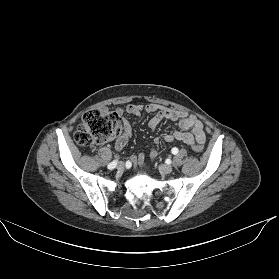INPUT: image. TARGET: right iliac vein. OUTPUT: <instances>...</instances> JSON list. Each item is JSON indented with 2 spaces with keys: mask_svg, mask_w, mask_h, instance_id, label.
<instances>
[{
  "mask_svg": "<svg viewBox=\"0 0 279 279\" xmlns=\"http://www.w3.org/2000/svg\"><path fill=\"white\" fill-rule=\"evenodd\" d=\"M124 163L123 162H119L118 164H117V169L119 170V171H122V170H124Z\"/></svg>",
  "mask_w": 279,
  "mask_h": 279,
  "instance_id": "1",
  "label": "right iliac vein"
}]
</instances>
